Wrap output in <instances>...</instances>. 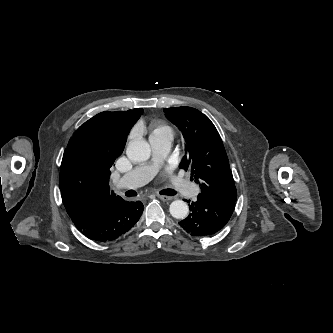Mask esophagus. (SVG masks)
<instances>
[{"instance_id": "obj_1", "label": "esophagus", "mask_w": 333, "mask_h": 333, "mask_svg": "<svg viewBox=\"0 0 333 333\" xmlns=\"http://www.w3.org/2000/svg\"><path fill=\"white\" fill-rule=\"evenodd\" d=\"M157 197H158L159 199H161L162 201H170V200L173 199V197H171V196L160 195V194H157Z\"/></svg>"}]
</instances>
